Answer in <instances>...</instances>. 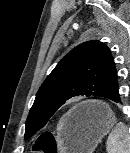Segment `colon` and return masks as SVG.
I'll list each match as a JSON object with an SVG mask.
<instances>
[{"instance_id": "1", "label": "colon", "mask_w": 130, "mask_h": 153, "mask_svg": "<svg viewBox=\"0 0 130 153\" xmlns=\"http://www.w3.org/2000/svg\"><path fill=\"white\" fill-rule=\"evenodd\" d=\"M55 149V140L51 133L40 135L33 147V151L36 153H55Z\"/></svg>"}]
</instances>
